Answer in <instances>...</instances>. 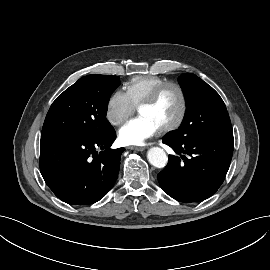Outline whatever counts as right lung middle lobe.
Returning a JSON list of instances; mask_svg holds the SVG:
<instances>
[{
	"label": "right lung middle lobe",
	"mask_w": 270,
	"mask_h": 270,
	"mask_svg": "<svg viewBox=\"0 0 270 270\" xmlns=\"http://www.w3.org/2000/svg\"><path fill=\"white\" fill-rule=\"evenodd\" d=\"M117 76L88 75L66 89L52 103L41 135L98 138L113 129L105 118Z\"/></svg>",
	"instance_id": "1"
}]
</instances>
